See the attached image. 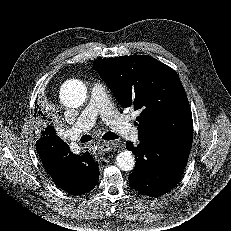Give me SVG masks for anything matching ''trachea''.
I'll list each match as a JSON object with an SVG mask.
<instances>
[{"mask_svg": "<svg viewBox=\"0 0 231 231\" xmlns=\"http://www.w3.org/2000/svg\"><path fill=\"white\" fill-rule=\"evenodd\" d=\"M103 139L105 140H115L118 138V135H116L113 132H107L102 136ZM92 139L90 135H83L80 139L81 142H88Z\"/></svg>", "mask_w": 231, "mask_h": 231, "instance_id": "1", "label": "trachea"}]
</instances>
